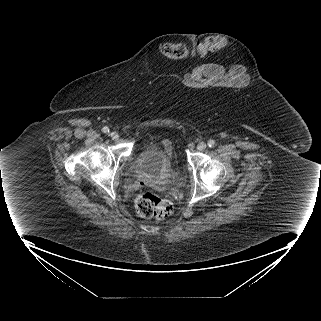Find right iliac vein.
Returning a JSON list of instances; mask_svg holds the SVG:
<instances>
[{
	"instance_id": "obj_1",
	"label": "right iliac vein",
	"mask_w": 321,
	"mask_h": 321,
	"mask_svg": "<svg viewBox=\"0 0 321 321\" xmlns=\"http://www.w3.org/2000/svg\"><path fill=\"white\" fill-rule=\"evenodd\" d=\"M110 137L113 140H117L119 138V134L117 132L113 131V132L110 133Z\"/></svg>"
}]
</instances>
